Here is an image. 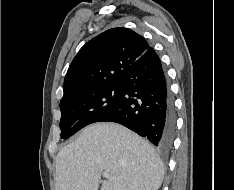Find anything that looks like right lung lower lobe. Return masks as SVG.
<instances>
[{
    "mask_svg": "<svg viewBox=\"0 0 234 190\" xmlns=\"http://www.w3.org/2000/svg\"><path fill=\"white\" fill-rule=\"evenodd\" d=\"M114 107L98 120L124 125L160 149L171 147L175 133L173 101L160 59L150 47L120 78Z\"/></svg>",
    "mask_w": 234,
    "mask_h": 190,
    "instance_id": "1",
    "label": "right lung lower lobe"
}]
</instances>
